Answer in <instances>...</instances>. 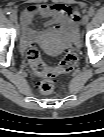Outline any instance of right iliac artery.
<instances>
[{
  "instance_id": "right-iliac-artery-1",
  "label": "right iliac artery",
  "mask_w": 104,
  "mask_h": 137,
  "mask_svg": "<svg viewBox=\"0 0 104 137\" xmlns=\"http://www.w3.org/2000/svg\"><path fill=\"white\" fill-rule=\"evenodd\" d=\"M4 12H5V14L9 15V14L11 13V10H10L9 8H6V9L4 10Z\"/></svg>"
}]
</instances>
